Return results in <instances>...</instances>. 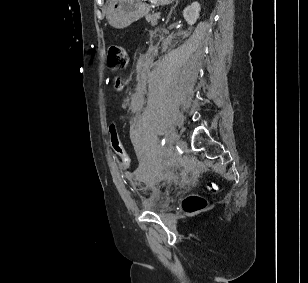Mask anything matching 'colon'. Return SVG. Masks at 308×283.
Instances as JSON below:
<instances>
[{
  "label": "colon",
  "mask_w": 308,
  "mask_h": 283,
  "mask_svg": "<svg viewBox=\"0 0 308 283\" xmlns=\"http://www.w3.org/2000/svg\"><path fill=\"white\" fill-rule=\"evenodd\" d=\"M108 64L113 70H123L127 67L129 58L126 50L117 43H111L108 47L107 53ZM121 85V81H117V86ZM110 142L113 150L120 158L121 163L124 167H128L130 164L129 155L125 146L123 145L115 124L109 126ZM208 187L211 190L216 189V185L210 183ZM205 205L203 198L198 196L188 197L184 202V208L189 211H195L202 208Z\"/></svg>",
  "instance_id": "5ec220e1"
}]
</instances>
